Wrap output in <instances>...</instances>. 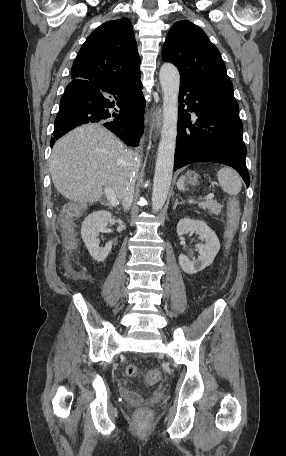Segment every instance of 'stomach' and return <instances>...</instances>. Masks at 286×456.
<instances>
[{
  "instance_id": "1",
  "label": "stomach",
  "mask_w": 286,
  "mask_h": 456,
  "mask_svg": "<svg viewBox=\"0 0 286 456\" xmlns=\"http://www.w3.org/2000/svg\"><path fill=\"white\" fill-rule=\"evenodd\" d=\"M184 178L187 184L195 186L198 183V174L194 171H188Z\"/></svg>"
}]
</instances>
